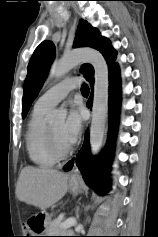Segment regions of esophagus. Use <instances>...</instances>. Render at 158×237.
I'll use <instances>...</instances> for the list:
<instances>
[{
    "label": "esophagus",
    "mask_w": 158,
    "mask_h": 237,
    "mask_svg": "<svg viewBox=\"0 0 158 237\" xmlns=\"http://www.w3.org/2000/svg\"><path fill=\"white\" fill-rule=\"evenodd\" d=\"M70 174H71L72 179H76L79 177V172H78V168L76 165L73 167Z\"/></svg>",
    "instance_id": "esophagus-1"
}]
</instances>
